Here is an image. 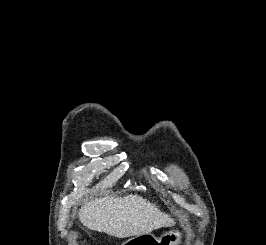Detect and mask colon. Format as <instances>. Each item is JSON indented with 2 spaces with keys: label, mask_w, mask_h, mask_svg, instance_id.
<instances>
[{
  "label": "colon",
  "mask_w": 266,
  "mask_h": 245,
  "mask_svg": "<svg viewBox=\"0 0 266 245\" xmlns=\"http://www.w3.org/2000/svg\"><path fill=\"white\" fill-rule=\"evenodd\" d=\"M77 244L78 245H84L85 243L82 240L79 239L78 242H77Z\"/></svg>",
  "instance_id": "5ec220e1"
}]
</instances>
